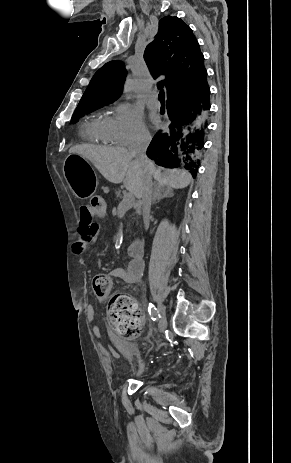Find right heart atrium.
<instances>
[{
    "mask_svg": "<svg viewBox=\"0 0 291 463\" xmlns=\"http://www.w3.org/2000/svg\"><path fill=\"white\" fill-rule=\"evenodd\" d=\"M114 142L121 146H132L148 142L150 133L141 115L129 104L115 107L110 122Z\"/></svg>",
    "mask_w": 291,
    "mask_h": 463,
    "instance_id": "right-heart-atrium-1",
    "label": "right heart atrium"
}]
</instances>
